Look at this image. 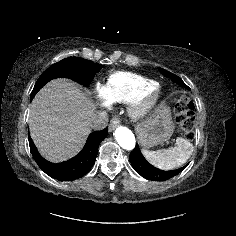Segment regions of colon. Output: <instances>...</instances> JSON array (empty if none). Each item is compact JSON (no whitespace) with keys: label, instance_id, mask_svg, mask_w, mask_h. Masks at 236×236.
Instances as JSON below:
<instances>
[{"label":"colon","instance_id":"5ec220e1","mask_svg":"<svg viewBox=\"0 0 236 236\" xmlns=\"http://www.w3.org/2000/svg\"><path fill=\"white\" fill-rule=\"evenodd\" d=\"M175 113L177 122L182 130L185 132L187 137L192 138L194 114L191 100L186 96L180 97L175 105Z\"/></svg>","mask_w":236,"mask_h":236}]
</instances>
